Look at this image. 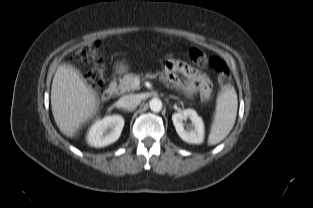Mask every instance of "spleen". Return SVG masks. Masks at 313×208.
<instances>
[{"instance_id": "3e777b00", "label": "spleen", "mask_w": 313, "mask_h": 208, "mask_svg": "<svg viewBox=\"0 0 313 208\" xmlns=\"http://www.w3.org/2000/svg\"><path fill=\"white\" fill-rule=\"evenodd\" d=\"M237 107L234 87L226 88L217 99L215 120L208 137L209 145L218 144L230 133L235 124Z\"/></svg>"}]
</instances>
